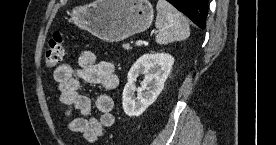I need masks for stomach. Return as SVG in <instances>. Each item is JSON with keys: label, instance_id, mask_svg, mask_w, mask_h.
<instances>
[{"label": "stomach", "instance_id": "stomach-1", "mask_svg": "<svg viewBox=\"0 0 276 145\" xmlns=\"http://www.w3.org/2000/svg\"><path fill=\"white\" fill-rule=\"evenodd\" d=\"M70 21L106 42H119L148 29L154 11L148 0H95L68 12Z\"/></svg>", "mask_w": 276, "mask_h": 145}]
</instances>
